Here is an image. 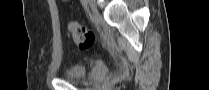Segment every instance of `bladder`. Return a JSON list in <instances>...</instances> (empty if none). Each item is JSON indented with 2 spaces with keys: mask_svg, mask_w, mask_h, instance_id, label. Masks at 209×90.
<instances>
[{
  "mask_svg": "<svg viewBox=\"0 0 209 90\" xmlns=\"http://www.w3.org/2000/svg\"><path fill=\"white\" fill-rule=\"evenodd\" d=\"M86 75V69L80 64H74L66 68L65 77L69 80H77Z\"/></svg>",
  "mask_w": 209,
  "mask_h": 90,
  "instance_id": "obj_1",
  "label": "bladder"
}]
</instances>
